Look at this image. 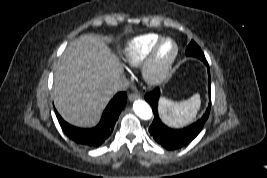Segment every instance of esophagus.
<instances>
[{
    "label": "esophagus",
    "mask_w": 267,
    "mask_h": 178,
    "mask_svg": "<svg viewBox=\"0 0 267 178\" xmlns=\"http://www.w3.org/2000/svg\"><path fill=\"white\" fill-rule=\"evenodd\" d=\"M140 98H141V96H140L139 93H131V94L128 95V99L130 101H134V100L140 99Z\"/></svg>",
    "instance_id": "obj_1"
}]
</instances>
